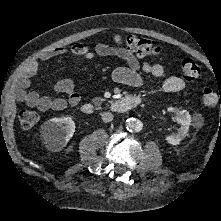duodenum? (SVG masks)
I'll list each match as a JSON object with an SVG mask.
<instances>
[{"mask_svg": "<svg viewBox=\"0 0 221 221\" xmlns=\"http://www.w3.org/2000/svg\"><path fill=\"white\" fill-rule=\"evenodd\" d=\"M142 99L139 96H128L121 99L113 100L109 103V108L118 113H123L138 106ZM81 111L84 114H94L97 108L91 103H85L81 106Z\"/></svg>", "mask_w": 221, "mask_h": 221, "instance_id": "1", "label": "duodenum"}]
</instances>
